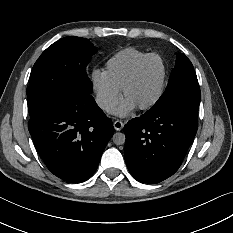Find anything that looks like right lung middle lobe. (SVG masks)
<instances>
[{"label":"right lung middle lobe","instance_id":"obj_1","mask_svg":"<svg viewBox=\"0 0 233 233\" xmlns=\"http://www.w3.org/2000/svg\"><path fill=\"white\" fill-rule=\"evenodd\" d=\"M96 48L87 39L69 36L49 46L34 64L27 95L30 117L47 111L77 91L91 93L86 66Z\"/></svg>","mask_w":233,"mask_h":233}]
</instances>
